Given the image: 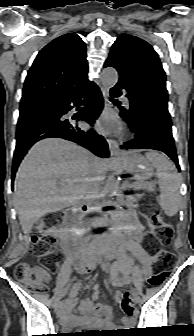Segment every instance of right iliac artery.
<instances>
[{
    "label": "right iliac artery",
    "instance_id": "obj_1",
    "mask_svg": "<svg viewBox=\"0 0 194 336\" xmlns=\"http://www.w3.org/2000/svg\"><path fill=\"white\" fill-rule=\"evenodd\" d=\"M70 296H71V293H70ZM62 305H63V302H60L59 307H62Z\"/></svg>",
    "mask_w": 194,
    "mask_h": 336
}]
</instances>
